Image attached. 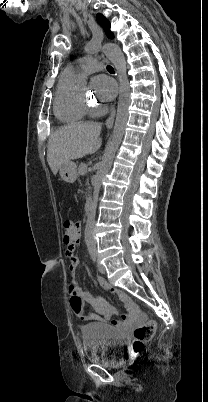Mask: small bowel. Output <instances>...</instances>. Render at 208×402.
Returning <instances> with one entry per match:
<instances>
[{"label":"small bowel","instance_id":"1","mask_svg":"<svg viewBox=\"0 0 208 402\" xmlns=\"http://www.w3.org/2000/svg\"><path fill=\"white\" fill-rule=\"evenodd\" d=\"M81 230L82 222L76 221L74 226L75 236L72 237V241L69 243V247L66 249V254L70 259V271L73 274L76 273L78 267V259L75 255V249L81 242V237L83 235ZM97 281L104 290L110 291L111 287L105 279L100 277ZM110 295H113V292H110ZM67 296L69 299L73 296H79L82 301L92 309L91 312L84 310V313L81 316L86 324L91 323L92 319L101 318L108 320L112 325H117V327L121 330H130L132 328V324H141L143 322L141 310L134 309V305L129 299L127 292H120L116 295V298L122 302L127 300L130 301V303L123 302L127 312L121 316L120 320L113 318L115 310L104 298L82 292L77 285L76 279H72L68 284Z\"/></svg>","mask_w":208,"mask_h":402}]
</instances>
